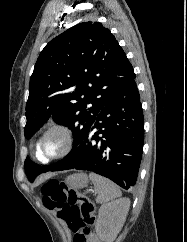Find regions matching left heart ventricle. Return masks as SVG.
<instances>
[{
    "label": "left heart ventricle",
    "mask_w": 187,
    "mask_h": 242,
    "mask_svg": "<svg viewBox=\"0 0 187 242\" xmlns=\"http://www.w3.org/2000/svg\"><path fill=\"white\" fill-rule=\"evenodd\" d=\"M63 138L58 133L49 134L42 143V151L47 156L59 153L63 148Z\"/></svg>",
    "instance_id": "left-heart-ventricle-1"
}]
</instances>
